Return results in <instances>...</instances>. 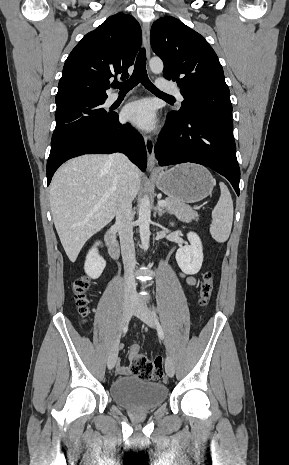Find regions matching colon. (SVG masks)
<instances>
[{"mask_svg":"<svg viewBox=\"0 0 289 465\" xmlns=\"http://www.w3.org/2000/svg\"><path fill=\"white\" fill-rule=\"evenodd\" d=\"M89 279L85 276L77 278L72 285L73 296L80 315L85 318L88 314L86 293L89 289ZM214 286V276L207 270L202 277L199 291V304L206 306L211 298ZM137 344L131 346L130 358L133 373L145 380H158L163 376V361L161 357L149 359L140 354Z\"/></svg>","mask_w":289,"mask_h":465,"instance_id":"colon-1","label":"colon"}]
</instances>
